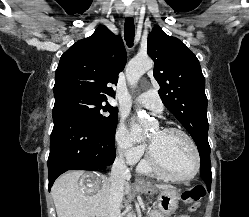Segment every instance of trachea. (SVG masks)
Returning a JSON list of instances; mask_svg holds the SVG:
<instances>
[{
	"label": "trachea",
	"instance_id": "obj_1",
	"mask_svg": "<svg viewBox=\"0 0 249 217\" xmlns=\"http://www.w3.org/2000/svg\"><path fill=\"white\" fill-rule=\"evenodd\" d=\"M135 36V25L132 17L125 20L124 25V38L129 47L133 46Z\"/></svg>",
	"mask_w": 249,
	"mask_h": 217
}]
</instances>
